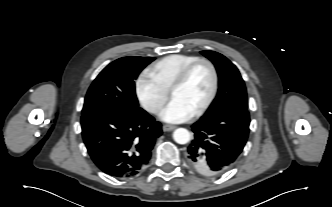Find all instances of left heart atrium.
<instances>
[{
    "instance_id": "left-heart-atrium-1",
    "label": "left heart atrium",
    "mask_w": 332,
    "mask_h": 207,
    "mask_svg": "<svg viewBox=\"0 0 332 207\" xmlns=\"http://www.w3.org/2000/svg\"><path fill=\"white\" fill-rule=\"evenodd\" d=\"M194 112L185 106L180 100L172 99L163 109L160 117L168 123H180L189 120Z\"/></svg>"
}]
</instances>
